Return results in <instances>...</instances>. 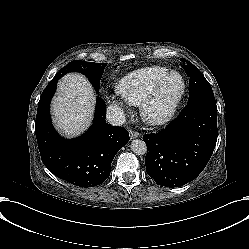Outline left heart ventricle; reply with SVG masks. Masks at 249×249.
<instances>
[{
  "instance_id": "obj_1",
  "label": "left heart ventricle",
  "mask_w": 249,
  "mask_h": 249,
  "mask_svg": "<svg viewBox=\"0 0 249 249\" xmlns=\"http://www.w3.org/2000/svg\"><path fill=\"white\" fill-rule=\"evenodd\" d=\"M179 86L178 77L175 75L171 76L160 91L159 97L150 105L149 113L152 115L162 113L168 107L170 101L176 96L179 91Z\"/></svg>"
}]
</instances>
